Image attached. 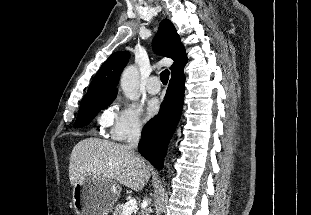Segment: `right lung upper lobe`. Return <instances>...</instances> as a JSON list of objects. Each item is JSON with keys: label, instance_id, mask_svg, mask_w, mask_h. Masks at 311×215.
I'll return each instance as SVG.
<instances>
[{"label": "right lung upper lobe", "instance_id": "1", "mask_svg": "<svg viewBox=\"0 0 311 215\" xmlns=\"http://www.w3.org/2000/svg\"><path fill=\"white\" fill-rule=\"evenodd\" d=\"M152 46L157 54L170 57L174 60L170 68L172 75L183 70L187 62L185 48L170 20L164 19L160 23ZM129 57L130 54L127 51H119L112 54L95 75L81 103L98 97H116V85L118 84L120 74L126 66Z\"/></svg>", "mask_w": 311, "mask_h": 215}]
</instances>
